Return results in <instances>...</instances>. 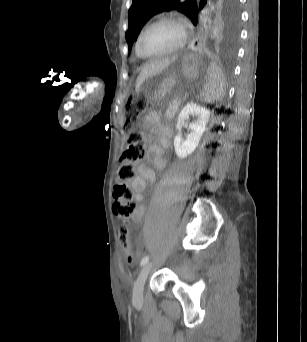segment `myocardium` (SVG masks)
I'll use <instances>...</instances> for the list:
<instances>
[{
  "mask_svg": "<svg viewBox=\"0 0 307 342\" xmlns=\"http://www.w3.org/2000/svg\"><path fill=\"white\" fill-rule=\"evenodd\" d=\"M164 21L170 22L178 28V30L180 32V38H179L178 42L173 47H171L170 49H168V50H166L160 54H157L155 56H148L142 51L141 44H142L143 37L153 25H155L156 23H159V22H164ZM186 43H187V33H186L185 26H184L183 22L177 17L162 14V15H158V16L150 19L149 21H147L143 25V27L141 28L139 35H138L136 48H137V53L139 54L140 57H142L145 60L152 61V60L161 59V58H164L166 56H169V55H172L174 53L179 52L180 50H182L185 47Z\"/></svg>",
  "mask_w": 307,
  "mask_h": 342,
  "instance_id": "1",
  "label": "myocardium"
}]
</instances>
